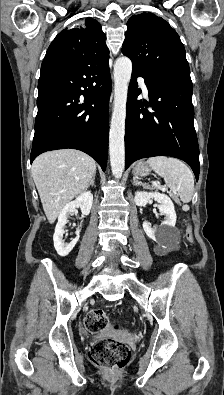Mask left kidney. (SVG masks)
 Segmentation results:
<instances>
[{
  "instance_id": "left-kidney-1",
  "label": "left kidney",
  "mask_w": 224,
  "mask_h": 395,
  "mask_svg": "<svg viewBox=\"0 0 224 395\" xmlns=\"http://www.w3.org/2000/svg\"><path fill=\"white\" fill-rule=\"evenodd\" d=\"M151 199L157 201L159 205V212L161 215H165V220L159 227L151 228L148 222H143V229L148 237L156 240L167 233L169 228H172L176 224V212L172 200L163 193L159 192H146L137 191L135 193L134 201L137 206H146Z\"/></svg>"
}]
</instances>
